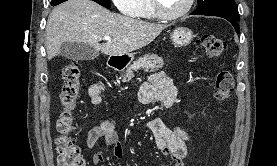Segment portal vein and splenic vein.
<instances>
[{
    "label": "portal vein and splenic vein",
    "mask_w": 277,
    "mask_h": 166,
    "mask_svg": "<svg viewBox=\"0 0 277 166\" xmlns=\"http://www.w3.org/2000/svg\"><path fill=\"white\" fill-rule=\"evenodd\" d=\"M103 39L106 41H111V38L109 36H105Z\"/></svg>",
    "instance_id": "obj_1"
}]
</instances>
